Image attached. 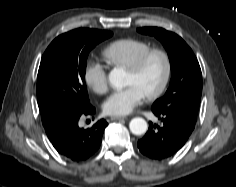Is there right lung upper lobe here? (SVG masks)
I'll return each mask as SVG.
<instances>
[{
  "instance_id": "1",
  "label": "right lung upper lobe",
  "mask_w": 236,
  "mask_h": 187,
  "mask_svg": "<svg viewBox=\"0 0 236 187\" xmlns=\"http://www.w3.org/2000/svg\"><path fill=\"white\" fill-rule=\"evenodd\" d=\"M84 30H88V29H86V28H79V29H76L74 31L80 32V31H84ZM46 133H47L48 137H51L53 135L54 131H49V132H46Z\"/></svg>"
}]
</instances>
